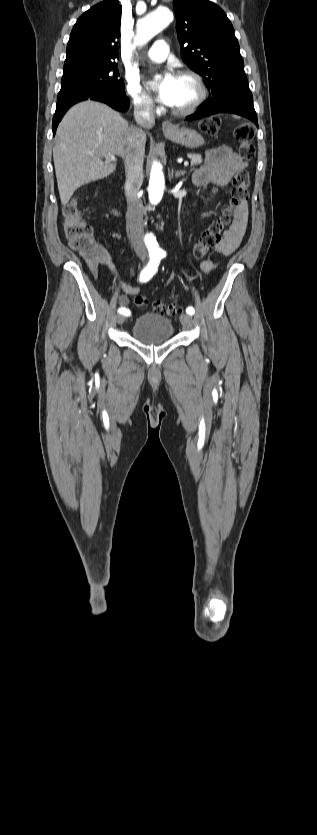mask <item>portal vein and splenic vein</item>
<instances>
[{"label":"portal vein and splenic vein","mask_w":317,"mask_h":835,"mask_svg":"<svg viewBox=\"0 0 317 835\" xmlns=\"http://www.w3.org/2000/svg\"><path fill=\"white\" fill-rule=\"evenodd\" d=\"M107 157H108V158H110V159H111V160H113V161H115V160H116L115 155L108 154V155H107ZM188 165H189V162H188V161H185V162H184V166H188Z\"/></svg>","instance_id":"obj_1"}]
</instances>
